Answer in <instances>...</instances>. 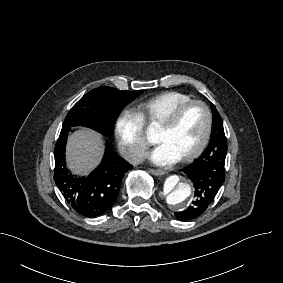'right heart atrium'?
<instances>
[{"label":"right heart atrium","mask_w":283,"mask_h":283,"mask_svg":"<svg viewBox=\"0 0 283 283\" xmlns=\"http://www.w3.org/2000/svg\"><path fill=\"white\" fill-rule=\"evenodd\" d=\"M114 132L125 160L137 162L147 147L142 119L130 108H125L116 119Z\"/></svg>","instance_id":"right-heart-atrium-1"}]
</instances>
